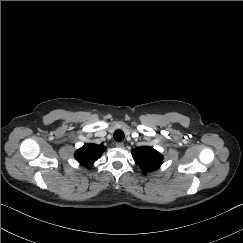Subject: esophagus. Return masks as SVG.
I'll use <instances>...</instances> for the list:
<instances>
[{
  "label": "esophagus",
  "mask_w": 243,
  "mask_h": 243,
  "mask_svg": "<svg viewBox=\"0 0 243 243\" xmlns=\"http://www.w3.org/2000/svg\"><path fill=\"white\" fill-rule=\"evenodd\" d=\"M115 146L118 148H124V143L123 142H116Z\"/></svg>",
  "instance_id": "1"
}]
</instances>
